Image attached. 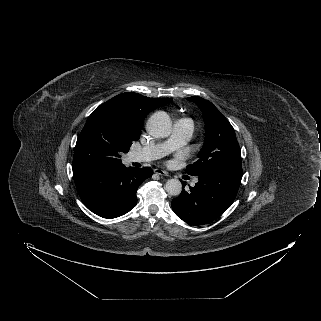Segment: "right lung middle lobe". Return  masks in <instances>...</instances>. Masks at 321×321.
I'll use <instances>...</instances> for the list:
<instances>
[{"label": "right lung middle lobe", "instance_id": "obj_1", "mask_svg": "<svg viewBox=\"0 0 321 321\" xmlns=\"http://www.w3.org/2000/svg\"><path fill=\"white\" fill-rule=\"evenodd\" d=\"M133 141L136 139L108 114L93 112L77 139L72 169L78 171L116 165Z\"/></svg>", "mask_w": 321, "mask_h": 321}]
</instances>
